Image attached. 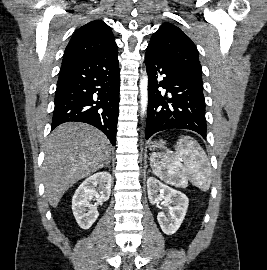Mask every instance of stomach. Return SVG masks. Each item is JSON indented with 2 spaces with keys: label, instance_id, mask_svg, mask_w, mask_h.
<instances>
[{
  "label": "stomach",
  "instance_id": "0dacf381",
  "mask_svg": "<svg viewBox=\"0 0 267 270\" xmlns=\"http://www.w3.org/2000/svg\"><path fill=\"white\" fill-rule=\"evenodd\" d=\"M164 146H165V142H164V141L151 142V143L149 144V149H150V150L163 149Z\"/></svg>",
  "mask_w": 267,
  "mask_h": 270
}]
</instances>
